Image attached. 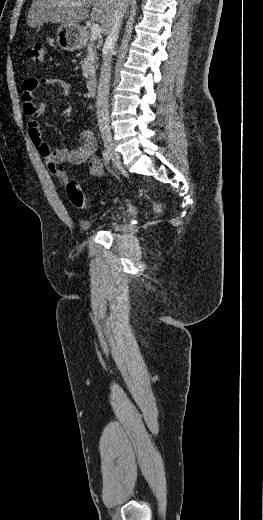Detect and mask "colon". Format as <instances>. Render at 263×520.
Listing matches in <instances>:
<instances>
[{"instance_id": "5ec220e1", "label": "colon", "mask_w": 263, "mask_h": 520, "mask_svg": "<svg viewBox=\"0 0 263 520\" xmlns=\"http://www.w3.org/2000/svg\"><path fill=\"white\" fill-rule=\"evenodd\" d=\"M25 54L34 63L40 64L44 61L45 45L42 42H37L28 49H26ZM65 188L68 198L75 207H86L87 199L83 194L79 183L76 180L68 178L65 182ZM154 210L156 212H160L161 205L155 204Z\"/></svg>"}]
</instances>
